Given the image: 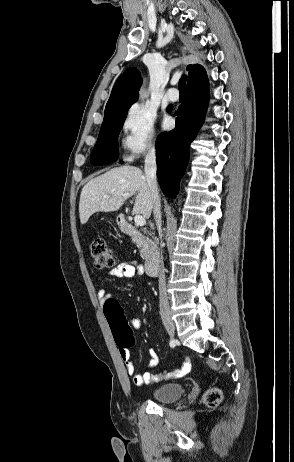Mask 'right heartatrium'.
Listing matches in <instances>:
<instances>
[{"instance_id":"obj_1","label":"right heart atrium","mask_w":294,"mask_h":462,"mask_svg":"<svg viewBox=\"0 0 294 462\" xmlns=\"http://www.w3.org/2000/svg\"><path fill=\"white\" fill-rule=\"evenodd\" d=\"M123 158L132 161L156 148L154 117L140 106L131 107L122 121Z\"/></svg>"}]
</instances>
